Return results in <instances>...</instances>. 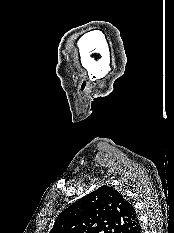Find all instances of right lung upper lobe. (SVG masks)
Masks as SVG:
<instances>
[{"label":"right lung upper lobe","mask_w":174,"mask_h":233,"mask_svg":"<svg viewBox=\"0 0 174 233\" xmlns=\"http://www.w3.org/2000/svg\"><path fill=\"white\" fill-rule=\"evenodd\" d=\"M139 229L132 204L104 185L63 210L50 233H137Z\"/></svg>","instance_id":"obj_1"}]
</instances>
